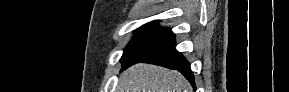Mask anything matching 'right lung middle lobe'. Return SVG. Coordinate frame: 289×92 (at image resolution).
Instances as JSON below:
<instances>
[{
  "instance_id": "right-lung-middle-lobe-1",
  "label": "right lung middle lobe",
  "mask_w": 289,
  "mask_h": 92,
  "mask_svg": "<svg viewBox=\"0 0 289 92\" xmlns=\"http://www.w3.org/2000/svg\"><path fill=\"white\" fill-rule=\"evenodd\" d=\"M175 45V37L169 28L150 22L135 31L133 39L121 57L122 70L132 62L154 55Z\"/></svg>"
}]
</instances>
